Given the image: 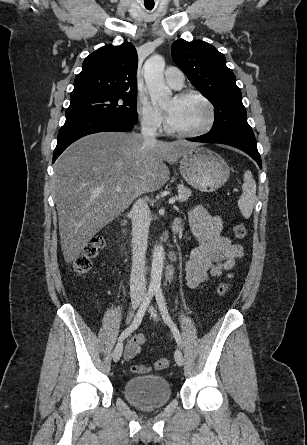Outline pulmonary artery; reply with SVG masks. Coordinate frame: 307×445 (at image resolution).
I'll return each instance as SVG.
<instances>
[{
    "instance_id": "obj_1",
    "label": "pulmonary artery",
    "mask_w": 307,
    "mask_h": 445,
    "mask_svg": "<svg viewBox=\"0 0 307 445\" xmlns=\"http://www.w3.org/2000/svg\"><path fill=\"white\" fill-rule=\"evenodd\" d=\"M165 78L169 85L173 87H181L183 84L182 69H167L165 71Z\"/></svg>"
}]
</instances>
